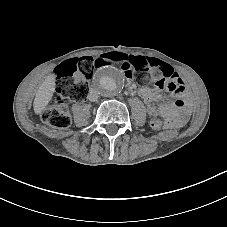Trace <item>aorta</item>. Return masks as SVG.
I'll list each match as a JSON object with an SVG mask.
<instances>
[{"label":"aorta","mask_w":227,"mask_h":227,"mask_svg":"<svg viewBox=\"0 0 227 227\" xmlns=\"http://www.w3.org/2000/svg\"><path fill=\"white\" fill-rule=\"evenodd\" d=\"M92 86L101 96L113 97L123 89L124 77L117 67L107 65L96 71Z\"/></svg>","instance_id":"obj_1"}]
</instances>
